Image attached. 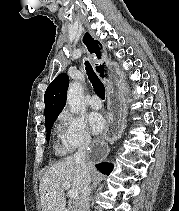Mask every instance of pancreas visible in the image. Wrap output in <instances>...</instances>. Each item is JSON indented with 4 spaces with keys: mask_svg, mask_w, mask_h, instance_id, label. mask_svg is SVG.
Wrapping results in <instances>:
<instances>
[{
    "mask_svg": "<svg viewBox=\"0 0 179 211\" xmlns=\"http://www.w3.org/2000/svg\"><path fill=\"white\" fill-rule=\"evenodd\" d=\"M68 211H78L76 206H72Z\"/></svg>",
    "mask_w": 179,
    "mask_h": 211,
    "instance_id": "cf45deb5",
    "label": "pancreas"
}]
</instances>
